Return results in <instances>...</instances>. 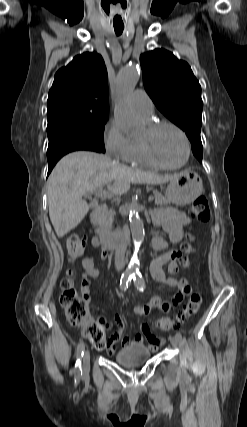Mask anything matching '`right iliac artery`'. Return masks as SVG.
Instances as JSON below:
<instances>
[{"mask_svg":"<svg viewBox=\"0 0 247 427\" xmlns=\"http://www.w3.org/2000/svg\"><path fill=\"white\" fill-rule=\"evenodd\" d=\"M133 275L132 274H123L121 276L120 279V289L121 290H126L128 288L129 283L131 282ZM84 349H85V343L83 341H81L78 345L77 348V359H76V363H75V367H74V373H75V380H79L81 374H82V370H81V360L84 354Z\"/></svg>","mask_w":247,"mask_h":427,"instance_id":"1","label":"right iliac artery"}]
</instances>
